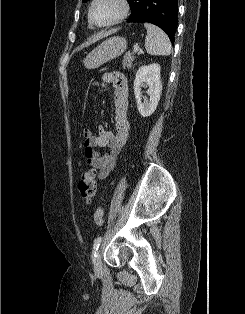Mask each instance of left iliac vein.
Instances as JSON below:
<instances>
[{
	"label": "left iliac vein",
	"instance_id": "obj_1",
	"mask_svg": "<svg viewBox=\"0 0 245 314\" xmlns=\"http://www.w3.org/2000/svg\"><path fill=\"white\" fill-rule=\"evenodd\" d=\"M93 264H94V270L96 273L102 272V262H101V257H100V251L97 250L96 255L93 259Z\"/></svg>",
	"mask_w": 245,
	"mask_h": 314
}]
</instances>
